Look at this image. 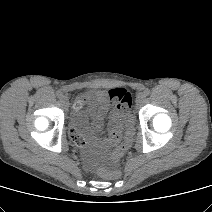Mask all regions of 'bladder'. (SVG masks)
I'll list each match as a JSON object with an SVG mask.
<instances>
[{"instance_id": "bladder-1", "label": "bladder", "mask_w": 212, "mask_h": 212, "mask_svg": "<svg viewBox=\"0 0 212 212\" xmlns=\"http://www.w3.org/2000/svg\"><path fill=\"white\" fill-rule=\"evenodd\" d=\"M95 92L87 91L80 96V102L73 110L71 121L76 128H84L88 121L89 109L92 106Z\"/></svg>"}]
</instances>
